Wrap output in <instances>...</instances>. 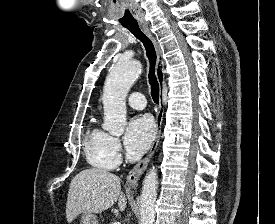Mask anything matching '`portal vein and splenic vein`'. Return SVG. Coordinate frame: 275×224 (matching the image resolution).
I'll list each match as a JSON object with an SVG mask.
<instances>
[{
  "instance_id": "1",
  "label": "portal vein and splenic vein",
  "mask_w": 275,
  "mask_h": 224,
  "mask_svg": "<svg viewBox=\"0 0 275 224\" xmlns=\"http://www.w3.org/2000/svg\"><path fill=\"white\" fill-rule=\"evenodd\" d=\"M114 224H120L119 222H115Z\"/></svg>"
}]
</instances>
